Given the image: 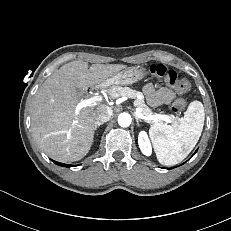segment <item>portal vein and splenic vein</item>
Returning <instances> with one entry per match:
<instances>
[{
	"mask_svg": "<svg viewBox=\"0 0 231 231\" xmlns=\"http://www.w3.org/2000/svg\"><path fill=\"white\" fill-rule=\"evenodd\" d=\"M103 99V97L101 95H96L93 97H90L88 99L83 100L77 107L76 109V114L78 113L79 109L86 107V106H94L97 105L98 102H101ZM136 115L145 120V121H158V120H163L166 121L168 123L171 122V119L169 118V116L167 115H161V114H157V115H151V116H144L141 113V110H137L136 111Z\"/></svg>",
	"mask_w": 231,
	"mask_h": 231,
	"instance_id": "portal-vein-and-splenic-vein-1",
	"label": "portal vein and splenic vein"
}]
</instances>
